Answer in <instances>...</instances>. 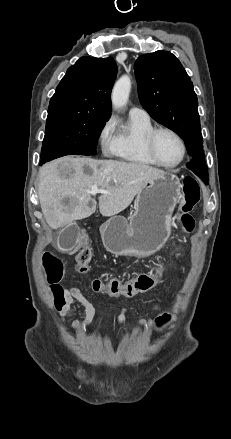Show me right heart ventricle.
<instances>
[{
  "mask_svg": "<svg viewBox=\"0 0 231 439\" xmlns=\"http://www.w3.org/2000/svg\"><path fill=\"white\" fill-rule=\"evenodd\" d=\"M153 128L150 119L129 116L128 121L117 129L113 155L137 166H155L156 164L150 159L144 146L145 136Z\"/></svg>",
  "mask_w": 231,
  "mask_h": 439,
  "instance_id": "obj_1",
  "label": "right heart ventricle"
}]
</instances>
